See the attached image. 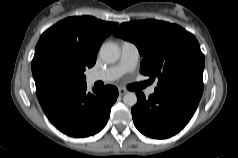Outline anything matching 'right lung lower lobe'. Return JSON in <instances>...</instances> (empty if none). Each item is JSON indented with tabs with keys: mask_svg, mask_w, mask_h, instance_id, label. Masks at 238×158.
Masks as SVG:
<instances>
[{
	"mask_svg": "<svg viewBox=\"0 0 238 158\" xmlns=\"http://www.w3.org/2000/svg\"><path fill=\"white\" fill-rule=\"evenodd\" d=\"M36 81V94L50 122L72 137H86L104 128L118 97L115 86L87 92L86 83L74 84L51 78Z\"/></svg>",
	"mask_w": 238,
	"mask_h": 158,
	"instance_id": "1",
	"label": "right lung lower lobe"
}]
</instances>
